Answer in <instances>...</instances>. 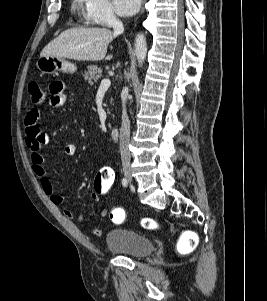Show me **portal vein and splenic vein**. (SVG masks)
Listing matches in <instances>:
<instances>
[{"mask_svg": "<svg viewBox=\"0 0 267 301\" xmlns=\"http://www.w3.org/2000/svg\"><path fill=\"white\" fill-rule=\"evenodd\" d=\"M110 85H111L110 79H103L101 81L99 89H108L110 87Z\"/></svg>", "mask_w": 267, "mask_h": 301, "instance_id": "portal-vein-and-splenic-vein-1", "label": "portal vein and splenic vein"}]
</instances>
